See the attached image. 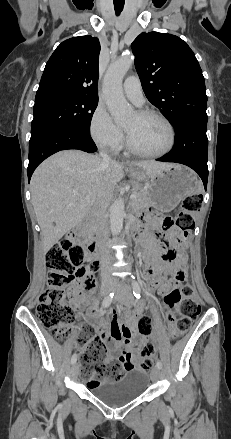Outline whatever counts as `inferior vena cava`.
I'll return each instance as SVG.
<instances>
[{
	"mask_svg": "<svg viewBox=\"0 0 231 439\" xmlns=\"http://www.w3.org/2000/svg\"><path fill=\"white\" fill-rule=\"evenodd\" d=\"M100 156L103 160V162L105 163H109L111 161L109 155L101 150L100 151ZM108 206V200L105 194H101L98 196V198L96 199L93 209H92V214L95 220V225L96 227L101 230V236H102V244L100 245V250H101V260L103 262H105L106 264H110L112 261L111 255H110V251L107 247V245L105 244V240H106V208ZM104 279H112L111 276L109 274H104L103 276Z\"/></svg>",
	"mask_w": 231,
	"mask_h": 439,
	"instance_id": "602c4592",
	"label": "inferior vena cava"
}]
</instances>
